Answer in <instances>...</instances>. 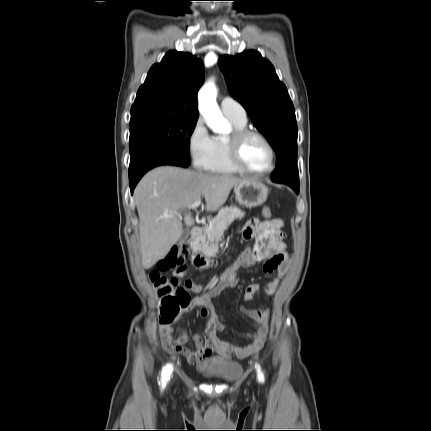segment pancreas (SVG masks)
<instances>
[{
    "mask_svg": "<svg viewBox=\"0 0 431 431\" xmlns=\"http://www.w3.org/2000/svg\"><path fill=\"white\" fill-rule=\"evenodd\" d=\"M244 215L245 212L236 206L221 208L217 216L209 220V225L204 227L199 250L207 257L215 256L218 252L217 243L222 239L224 231L235 219H242Z\"/></svg>",
    "mask_w": 431,
    "mask_h": 431,
    "instance_id": "1",
    "label": "pancreas"
}]
</instances>
